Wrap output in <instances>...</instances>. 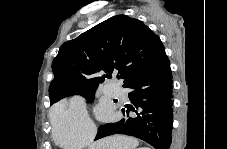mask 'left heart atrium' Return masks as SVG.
I'll return each instance as SVG.
<instances>
[{
    "mask_svg": "<svg viewBox=\"0 0 227 149\" xmlns=\"http://www.w3.org/2000/svg\"><path fill=\"white\" fill-rule=\"evenodd\" d=\"M100 115L101 117L103 118H109L111 113H110V110L107 108V107H101L100 109Z\"/></svg>",
    "mask_w": 227,
    "mask_h": 149,
    "instance_id": "39dd6f15",
    "label": "left heart atrium"
}]
</instances>
